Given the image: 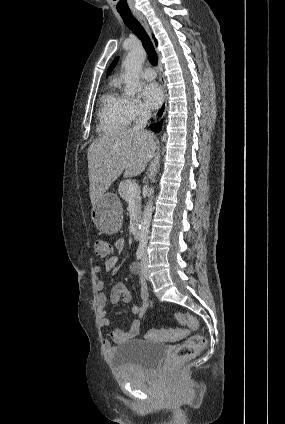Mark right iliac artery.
I'll list each match as a JSON object with an SVG mask.
<instances>
[{
	"label": "right iliac artery",
	"instance_id": "obj_1",
	"mask_svg": "<svg viewBox=\"0 0 285 424\" xmlns=\"http://www.w3.org/2000/svg\"><path fill=\"white\" fill-rule=\"evenodd\" d=\"M136 256L138 260H141L144 256V249L143 248H139L136 252Z\"/></svg>",
	"mask_w": 285,
	"mask_h": 424
}]
</instances>
